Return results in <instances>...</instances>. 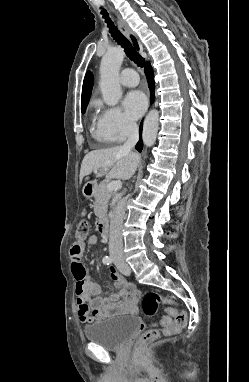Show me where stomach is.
Listing matches in <instances>:
<instances>
[{
  "label": "stomach",
  "mask_w": 249,
  "mask_h": 382,
  "mask_svg": "<svg viewBox=\"0 0 249 382\" xmlns=\"http://www.w3.org/2000/svg\"><path fill=\"white\" fill-rule=\"evenodd\" d=\"M96 185L93 180H88L87 184L83 187V195L86 198H91L95 194Z\"/></svg>",
  "instance_id": "1"
}]
</instances>
